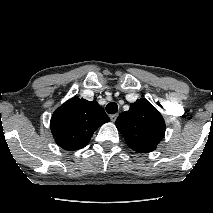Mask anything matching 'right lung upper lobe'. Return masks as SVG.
<instances>
[{"instance_id":"1","label":"right lung upper lobe","mask_w":213,"mask_h":213,"mask_svg":"<svg viewBox=\"0 0 213 213\" xmlns=\"http://www.w3.org/2000/svg\"><path fill=\"white\" fill-rule=\"evenodd\" d=\"M110 118L96 101L75 96L54 111L51 132L63 149L74 151L85 147L94 131Z\"/></svg>"}]
</instances>
